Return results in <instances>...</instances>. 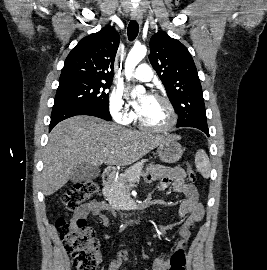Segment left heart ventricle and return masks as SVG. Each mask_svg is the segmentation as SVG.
Masks as SVG:
<instances>
[{
    "instance_id": "left-heart-ventricle-1",
    "label": "left heart ventricle",
    "mask_w": 267,
    "mask_h": 270,
    "mask_svg": "<svg viewBox=\"0 0 267 270\" xmlns=\"http://www.w3.org/2000/svg\"><path fill=\"white\" fill-rule=\"evenodd\" d=\"M142 120L151 126L161 127L168 123L169 114L166 106L153 98L140 114Z\"/></svg>"
}]
</instances>
